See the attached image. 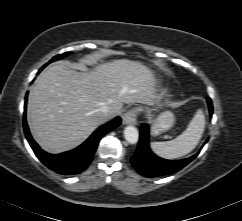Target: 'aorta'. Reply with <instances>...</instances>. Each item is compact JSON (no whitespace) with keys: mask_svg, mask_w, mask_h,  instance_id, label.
Instances as JSON below:
<instances>
[{"mask_svg":"<svg viewBox=\"0 0 242 221\" xmlns=\"http://www.w3.org/2000/svg\"><path fill=\"white\" fill-rule=\"evenodd\" d=\"M124 138L130 144H136L139 139V132L134 126H127L124 129Z\"/></svg>","mask_w":242,"mask_h":221,"instance_id":"aorta-1","label":"aorta"}]
</instances>
